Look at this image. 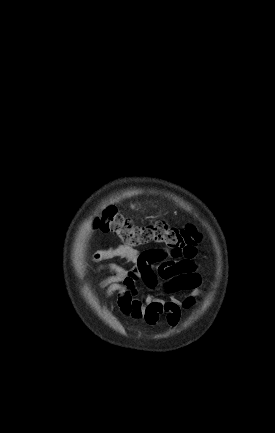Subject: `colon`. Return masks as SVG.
<instances>
[{
    "label": "colon",
    "mask_w": 275,
    "mask_h": 433,
    "mask_svg": "<svg viewBox=\"0 0 275 433\" xmlns=\"http://www.w3.org/2000/svg\"><path fill=\"white\" fill-rule=\"evenodd\" d=\"M95 227L104 233L117 236L127 247H141L153 243L163 244L174 258H189L196 253L200 239L192 224L174 227L164 221L137 225L120 214L114 206L107 207L97 217Z\"/></svg>",
    "instance_id": "colon-1"
}]
</instances>
